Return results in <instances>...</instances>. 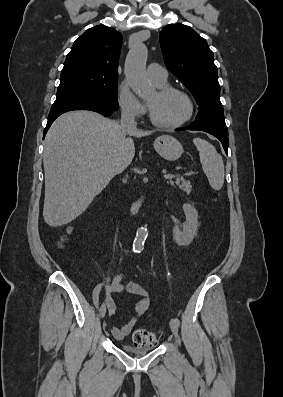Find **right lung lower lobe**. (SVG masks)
I'll return each mask as SVG.
<instances>
[{"label": "right lung lower lobe", "instance_id": "right-lung-lower-lobe-1", "mask_svg": "<svg viewBox=\"0 0 283 397\" xmlns=\"http://www.w3.org/2000/svg\"><path fill=\"white\" fill-rule=\"evenodd\" d=\"M72 110H91L98 112L106 117L112 115L115 111L104 108L99 105L84 103V102H62V103H54L51 107L48 122L46 128L44 130L43 136L45 137L48 129L50 128L53 121L60 116L61 114L72 111Z\"/></svg>", "mask_w": 283, "mask_h": 397}]
</instances>
